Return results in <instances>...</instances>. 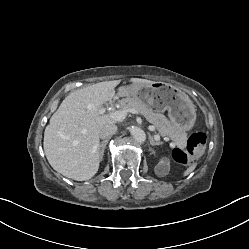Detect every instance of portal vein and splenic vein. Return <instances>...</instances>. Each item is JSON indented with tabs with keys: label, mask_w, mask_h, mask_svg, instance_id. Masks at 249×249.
I'll list each match as a JSON object with an SVG mask.
<instances>
[{
	"label": "portal vein and splenic vein",
	"mask_w": 249,
	"mask_h": 249,
	"mask_svg": "<svg viewBox=\"0 0 249 249\" xmlns=\"http://www.w3.org/2000/svg\"><path fill=\"white\" fill-rule=\"evenodd\" d=\"M104 112H105L104 109L100 110L101 114H103ZM127 113H133V114H137V115L140 114L137 110H135L133 108H123L121 110L112 111V112L109 113V115L115 121H123L126 118ZM148 128H149L150 131H156L157 130L154 125H150ZM155 138H156V140H159L160 136L157 134V135H155Z\"/></svg>",
	"instance_id": "portal-vein-and-splenic-vein-1"
}]
</instances>
